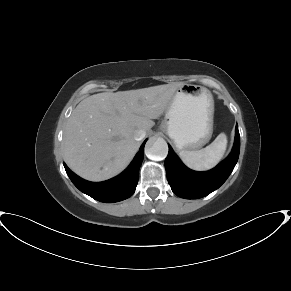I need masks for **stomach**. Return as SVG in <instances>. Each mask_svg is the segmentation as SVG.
Instances as JSON below:
<instances>
[{"label": "stomach", "instance_id": "0dacf381", "mask_svg": "<svg viewBox=\"0 0 291 291\" xmlns=\"http://www.w3.org/2000/svg\"><path fill=\"white\" fill-rule=\"evenodd\" d=\"M214 100L200 85L182 84L174 92L160 129L179 150L194 151L204 146L213 133Z\"/></svg>", "mask_w": 291, "mask_h": 291}]
</instances>
